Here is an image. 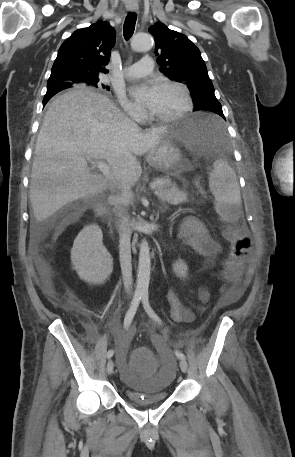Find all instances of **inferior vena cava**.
<instances>
[{
  "label": "inferior vena cava",
  "mask_w": 295,
  "mask_h": 457,
  "mask_svg": "<svg viewBox=\"0 0 295 457\" xmlns=\"http://www.w3.org/2000/svg\"><path fill=\"white\" fill-rule=\"evenodd\" d=\"M119 225V256L120 265L123 276L125 291L130 293L132 290V264H131V248L130 237L131 229L128 222V217L121 215Z\"/></svg>",
  "instance_id": "obj_1"
}]
</instances>
